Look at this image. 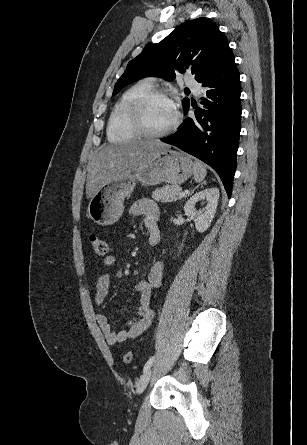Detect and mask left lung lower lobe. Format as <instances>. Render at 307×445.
Masks as SVG:
<instances>
[{"label":"left lung lower lobe","instance_id":"obj_1","mask_svg":"<svg viewBox=\"0 0 307 445\" xmlns=\"http://www.w3.org/2000/svg\"><path fill=\"white\" fill-rule=\"evenodd\" d=\"M202 86L206 88L201 98L203 108L195 110L196 119L186 118L176 133L161 141L211 166L220 176L230 198L242 111L239 71L234 56L202 82Z\"/></svg>","mask_w":307,"mask_h":445}]
</instances>
